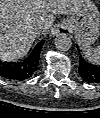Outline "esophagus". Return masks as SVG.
Instances as JSON below:
<instances>
[{
    "label": "esophagus",
    "instance_id": "34e87169",
    "mask_svg": "<svg viewBox=\"0 0 100 118\" xmlns=\"http://www.w3.org/2000/svg\"><path fill=\"white\" fill-rule=\"evenodd\" d=\"M71 33L70 25L67 20H62L53 26L51 36L69 35Z\"/></svg>",
    "mask_w": 100,
    "mask_h": 118
}]
</instances>
